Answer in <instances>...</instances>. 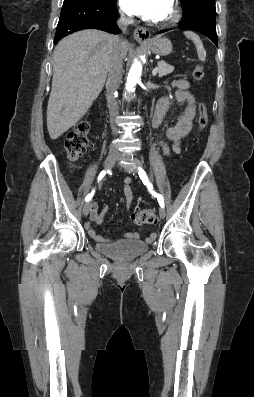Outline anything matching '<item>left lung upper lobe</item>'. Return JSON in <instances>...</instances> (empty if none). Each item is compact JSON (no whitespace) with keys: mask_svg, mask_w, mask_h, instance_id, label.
I'll list each match as a JSON object with an SVG mask.
<instances>
[{"mask_svg":"<svg viewBox=\"0 0 254 397\" xmlns=\"http://www.w3.org/2000/svg\"><path fill=\"white\" fill-rule=\"evenodd\" d=\"M180 1H181V3H185L186 0H180Z\"/></svg>","mask_w":254,"mask_h":397,"instance_id":"1","label":"left lung upper lobe"}]
</instances>
